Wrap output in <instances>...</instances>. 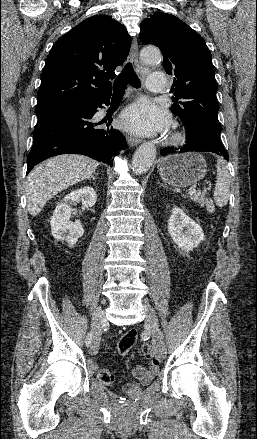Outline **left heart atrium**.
<instances>
[{"label":"left heart atrium","instance_id":"left-heart-atrium-1","mask_svg":"<svg viewBox=\"0 0 257 439\" xmlns=\"http://www.w3.org/2000/svg\"><path fill=\"white\" fill-rule=\"evenodd\" d=\"M121 125L138 135L150 136L163 133L170 124L167 111L148 100L138 101L121 116Z\"/></svg>","mask_w":257,"mask_h":439}]
</instances>
